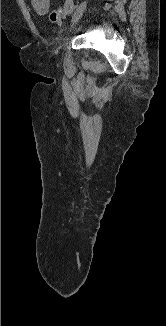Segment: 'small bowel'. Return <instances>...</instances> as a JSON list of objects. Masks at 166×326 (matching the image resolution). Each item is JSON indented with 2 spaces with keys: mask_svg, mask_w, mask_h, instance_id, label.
Listing matches in <instances>:
<instances>
[{
  "mask_svg": "<svg viewBox=\"0 0 166 326\" xmlns=\"http://www.w3.org/2000/svg\"><path fill=\"white\" fill-rule=\"evenodd\" d=\"M32 9L38 14H45L48 12L51 0H30Z\"/></svg>",
  "mask_w": 166,
  "mask_h": 326,
  "instance_id": "1",
  "label": "small bowel"
}]
</instances>
